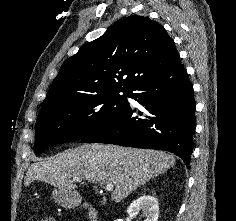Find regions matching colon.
<instances>
[{
  "mask_svg": "<svg viewBox=\"0 0 236 221\" xmlns=\"http://www.w3.org/2000/svg\"><path fill=\"white\" fill-rule=\"evenodd\" d=\"M36 221H56L54 217L52 216H46L44 218L38 219Z\"/></svg>",
  "mask_w": 236,
  "mask_h": 221,
  "instance_id": "5ec220e1",
  "label": "colon"
}]
</instances>
